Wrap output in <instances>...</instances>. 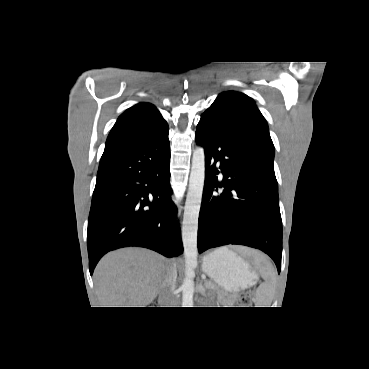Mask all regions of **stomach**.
Instances as JSON below:
<instances>
[{"label": "stomach", "instance_id": "stomach-1", "mask_svg": "<svg viewBox=\"0 0 369 369\" xmlns=\"http://www.w3.org/2000/svg\"><path fill=\"white\" fill-rule=\"evenodd\" d=\"M203 271L228 292H237L255 284L256 273L248 262L226 247L204 256Z\"/></svg>", "mask_w": 369, "mask_h": 369}]
</instances>
